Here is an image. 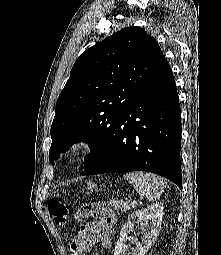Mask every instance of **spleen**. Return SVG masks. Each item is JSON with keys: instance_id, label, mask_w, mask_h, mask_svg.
<instances>
[{"instance_id": "spleen-1", "label": "spleen", "mask_w": 221, "mask_h": 255, "mask_svg": "<svg viewBox=\"0 0 221 255\" xmlns=\"http://www.w3.org/2000/svg\"><path fill=\"white\" fill-rule=\"evenodd\" d=\"M124 179L130 182L135 190L144 194L148 201H156L166 187V180L148 172H131L124 174Z\"/></svg>"}]
</instances>
